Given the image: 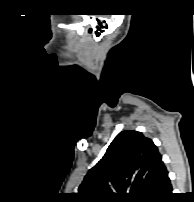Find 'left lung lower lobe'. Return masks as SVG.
Returning a JSON list of instances; mask_svg holds the SVG:
<instances>
[{
    "label": "left lung lower lobe",
    "instance_id": "left-lung-lower-lobe-1",
    "mask_svg": "<svg viewBox=\"0 0 194 202\" xmlns=\"http://www.w3.org/2000/svg\"><path fill=\"white\" fill-rule=\"evenodd\" d=\"M171 197H172V186L170 183V179L168 177V172L165 169L161 176L160 183L157 187L155 196L152 199V201L153 202H169Z\"/></svg>",
    "mask_w": 194,
    "mask_h": 202
}]
</instances>
